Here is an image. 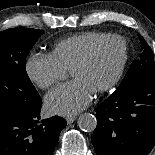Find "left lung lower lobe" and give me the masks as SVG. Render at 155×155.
Masks as SVG:
<instances>
[{
  "instance_id": "1",
  "label": "left lung lower lobe",
  "mask_w": 155,
  "mask_h": 155,
  "mask_svg": "<svg viewBox=\"0 0 155 155\" xmlns=\"http://www.w3.org/2000/svg\"><path fill=\"white\" fill-rule=\"evenodd\" d=\"M96 114L91 142L98 155H148L155 145V75L117 89Z\"/></svg>"
}]
</instances>
